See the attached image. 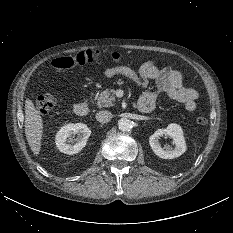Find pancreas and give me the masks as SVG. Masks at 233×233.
I'll list each match as a JSON object with an SVG mask.
<instances>
[{
	"label": "pancreas",
	"instance_id": "obj_1",
	"mask_svg": "<svg viewBox=\"0 0 233 233\" xmlns=\"http://www.w3.org/2000/svg\"><path fill=\"white\" fill-rule=\"evenodd\" d=\"M115 101V90L106 89L101 92L97 98V104L99 107H109L114 104Z\"/></svg>",
	"mask_w": 233,
	"mask_h": 233
}]
</instances>
